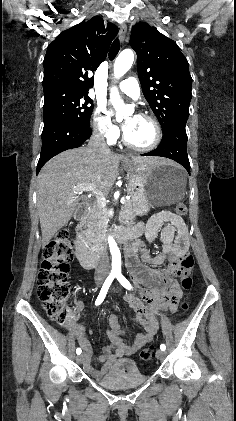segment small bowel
Segmentation results:
<instances>
[{
    "label": "small bowel",
    "mask_w": 236,
    "mask_h": 421,
    "mask_svg": "<svg viewBox=\"0 0 236 421\" xmlns=\"http://www.w3.org/2000/svg\"><path fill=\"white\" fill-rule=\"evenodd\" d=\"M163 224H166V225L164 226L162 230V238L167 243L176 234L177 235V243H176L177 251H178L179 257H181L188 250V230L183 219L179 215H176L168 211L160 212L158 214H155L153 217H151L149 221H147L146 223H138L131 228L138 231L140 235L142 233H145L146 238L149 241H153L156 238ZM128 300L130 301L133 307H137L139 309L140 303L135 297L129 296ZM82 308H83V303L77 302L75 305V309L77 311H81ZM150 322L153 328V333L150 334L144 342L150 341L153 337V334L155 333L156 323L152 319H150ZM109 324H110L111 329L117 328L118 330H120V326L118 324L117 318L114 315H111L109 317ZM69 328L72 332L76 330H80L83 332V335H84L83 327L81 325L72 323L70 324ZM85 340L86 342L84 341L80 342V344L85 349L83 362L85 361L87 355L91 357V349H90L89 343L86 338Z\"/></svg>",
    "instance_id": "c3829d8e"
}]
</instances>
